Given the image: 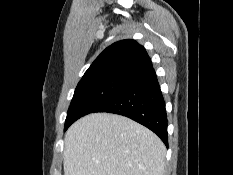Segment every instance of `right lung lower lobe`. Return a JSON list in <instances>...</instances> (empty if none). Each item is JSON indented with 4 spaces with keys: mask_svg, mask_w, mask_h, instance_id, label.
Segmentation results:
<instances>
[{
    "mask_svg": "<svg viewBox=\"0 0 233 175\" xmlns=\"http://www.w3.org/2000/svg\"><path fill=\"white\" fill-rule=\"evenodd\" d=\"M94 112L126 116L156 133L168 146L165 102L154 69L134 78Z\"/></svg>",
    "mask_w": 233,
    "mask_h": 175,
    "instance_id": "1",
    "label": "right lung lower lobe"
}]
</instances>
